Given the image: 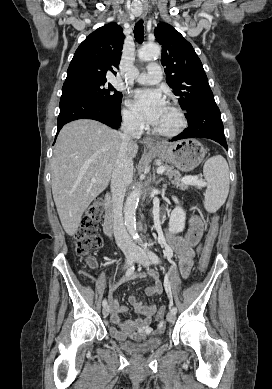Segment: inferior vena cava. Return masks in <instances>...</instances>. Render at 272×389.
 <instances>
[{"mask_svg": "<svg viewBox=\"0 0 272 389\" xmlns=\"http://www.w3.org/2000/svg\"><path fill=\"white\" fill-rule=\"evenodd\" d=\"M120 134L121 144L111 176L113 231L117 245L124 253L135 252V246L125 228L122 214L127 186L132 181L133 161L128 154V144L142 135L141 122L130 115L123 118Z\"/></svg>", "mask_w": 272, "mask_h": 389, "instance_id": "1", "label": "inferior vena cava"}]
</instances>
